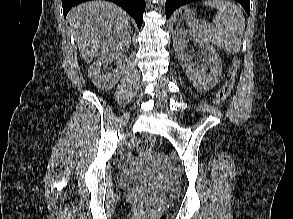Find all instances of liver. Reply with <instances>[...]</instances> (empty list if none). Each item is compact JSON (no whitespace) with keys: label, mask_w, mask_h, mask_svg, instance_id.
<instances>
[{"label":"liver","mask_w":293,"mask_h":219,"mask_svg":"<svg viewBox=\"0 0 293 219\" xmlns=\"http://www.w3.org/2000/svg\"><path fill=\"white\" fill-rule=\"evenodd\" d=\"M83 60L120 56L129 49L131 26L126 12L106 1H89L73 7L68 15Z\"/></svg>","instance_id":"liver-1"}]
</instances>
